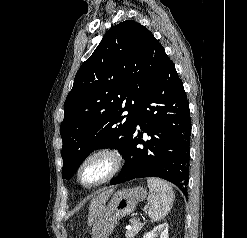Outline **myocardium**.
Returning <instances> with one entry per match:
<instances>
[{
  "mask_svg": "<svg viewBox=\"0 0 247 238\" xmlns=\"http://www.w3.org/2000/svg\"><path fill=\"white\" fill-rule=\"evenodd\" d=\"M97 158H105L110 163V169L108 173L102 177L101 179L92 182L86 183L82 179V171L83 169L93 160ZM123 159L120 151L113 146L103 145L94 148L90 152H88L82 160L79 162L76 171H75V178L77 183L86 189L94 188L100 186L108 181H110L113 177H115L122 168Z\"/></svg>",
  "mask_w": 247,
  "mask_h": 238,
  "instance_id": "1",
  "label": "myocardium"
}]
</instances>
